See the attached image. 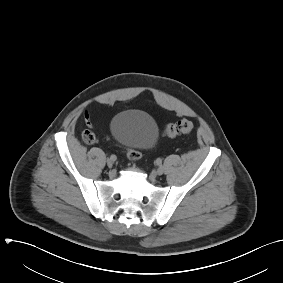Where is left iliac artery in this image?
Returning <instances> with one entry per match:
<instances>
[{
    "mask_svg": "<svg viewBox=\"0 0 283 283\" xmlns=\"http://www.w3.org/2000/svg\"><path fill=\"white\" fill-rule=\"evenodd\" d=\"M156 163H157V165H161V164H162V160H161L160 158H158V159L156 160Z\"/></svg>",
    "mask_w": 283,
    "mask_h": 283,
    "instance_id": "obj_1",
    "label": "left iliac artery"
}]
</instances>
